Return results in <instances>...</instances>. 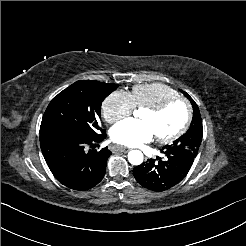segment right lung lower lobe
Instances as JSON below:
<instances>
[{
    "label": "right lung lower lobe",
    "mask_w": 246,
    "mask_h": 246,
    "mask_svg": "<svg viewBox=\"0 0 246 246\" xmlns=\"http://www.w3.org/2000/svg\"><path fill=\"white\" fill-rule=\"evenodd\" d=\"M106 134L87 137L69 132L40 134V145L45 161L56 177L66 187L85 191L97 185L105 174L106 161L112 154L108 148H94Z\"/></svg>",
    "instance_id": "right-lung-lower-lobe-1"
}]
</instances>
